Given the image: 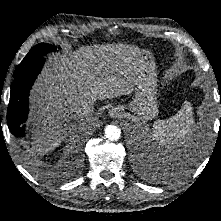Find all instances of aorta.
Segmentation results:
<instances>
[{"label": "aorta", "mask_w": 221, "mask_h": 221, "mask_svg": "<svg viewBox=\"0 0 221 221\" xmlns=\"http://www.w3.org/2000/svg\"><path fill=\"white\" fill-rule=\"evenodd\" d=\"M121 136V130L114 125H107L105 128V137L108 140L111 141H116L120 138Z\"/></svg>", "instance_id": "aorta-1"}]
</instances>
